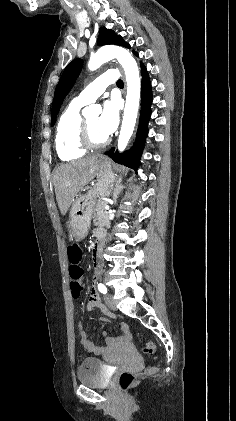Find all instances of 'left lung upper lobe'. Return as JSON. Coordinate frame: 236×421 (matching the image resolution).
<instances>
[{
	"mask_svg": "<svg viewBox=\"0 0 236 421\" xmlns=\"http://www.w3.org/2000/svg\"><path fill=\"white\" fill-rule=\"evenodd\" d=\"M98 45L115 44L130 48V45L117 35L113 30L101 27L99 31V38L97 41ZM83 66L82 59H74L65 68L59 83L56 87L54 100L51 111V122L52 126L55 124L56 116L59 112L60 106L63 103V99L66 97L72 86L74 85L78 75Z\"/></svg>",
	"mask_w": 236,
	"mask_h": 421,
	"instance_id": "obj_1",
	"label": "left lung upper lobe"
}]
</instances>
